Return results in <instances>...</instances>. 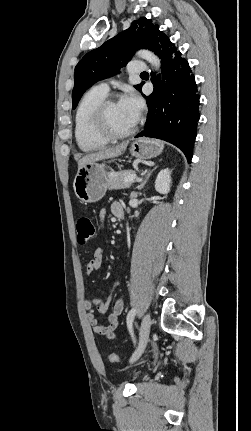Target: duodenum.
<instances>
[{
    "instance_id": "410a0bca",
    "label": "duodenum",
    "mask_w": 251,
    "mask_h": 431,
    "mask_svg": "<svg viewBox=\"0 0 251 431\" xmlns=\"http://www.w3.org/2000/svg\"><path fill=\"white\" fill-rule=\"evenodd\" d=\"M120 220H122L124 218V213H119L117 216Z\"/></svg>"
}]
</instances>
